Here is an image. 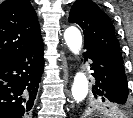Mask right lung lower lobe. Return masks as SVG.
Returning <instances> with one entry per match:
<instances>
[{
	"label": "right lung lower lobe",
	"mask_w": 133,
	"mask_h": 118,
	"mask_svg": "<svg viewBox=\"0 0 133 118\" xmlns=\"http://www.w3.org/2000/svg\"><path fill=\"white\" fill-rule=\"evenodd\" d=\"M43 42L0 63V118H27L44 69Z\"/></svg>",
	"instance_id": "obj_1"
}]
</instances>
